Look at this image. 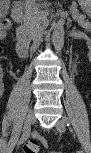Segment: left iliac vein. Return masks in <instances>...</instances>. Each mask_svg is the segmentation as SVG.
<instances>
[{"mask_svg": "<svg viewBox=\"0 0 91 153\" xmlns=\"http://www.w3.org/2000/svg\"><path fill=\"white\" fill-rule=\"evenodd\" d=\"M55 126L59 133H64L66 130V123L64 119L58 120Z\"/></svg>", "mask_w": 91, "mask_h": 153, "instance_id": "left-iliac-vein-1", "label": "left iliac vein"}]
</instances>
